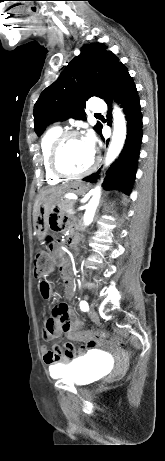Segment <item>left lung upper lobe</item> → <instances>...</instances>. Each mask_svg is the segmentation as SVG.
<instances>
[{
	"label": "left lung upper lobe",
	"mask_w": 165,
	"mask_h": 461,
	"mask_svg": "<svg viewBox=\"0 0 165 461\" xmlns=\"http://www.w3.org/2000/svg\"><path fill=\"white\" fill-rule=\"evenodd\" d=\"M126 67L102 43L82 46L61 75L47 87L34 105V129L41 135L45 127L68 118L85 120V103L92 96L106 99ZM99 87V88H98ZM102 128L97 123L94 130Z\"/></svg>",
	"instance_id": "1"
}]
</instances>
